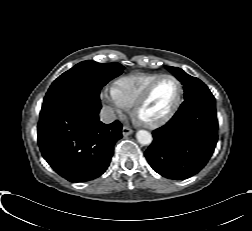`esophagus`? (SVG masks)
<instances>
[{
	"label": "esophagus",
	"instance_id": "esophagus-1",
	"mask_svg": "<svg viewBox=\"0 0 252 231\" xmlns=\"http://www.w3.org/2000/svg\"><path fill=\"white\" fill-rule=\"evenodd\" d=\"M133 133V130L127 126H124L122 128V134L123 136H128V135H131Z\"/></svg>",
	"mask_w": 252,
	"mask_h": 231
}]
</instances>
